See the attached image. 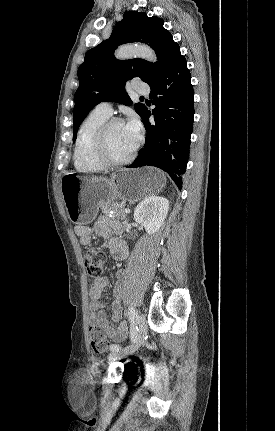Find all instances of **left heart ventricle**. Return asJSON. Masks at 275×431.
Here are the masks:
<instances>
[{"instance_id": "obj_1", "label": "left heart ventricle", "mask_w": 275, "mask_h": 431, "mask_svg": "<svg viewBox=\"0 0 275 431\" xmlns=\"http://www.w3.org/2000/svg\"><path fill=\"white\" fill-rule=\"evenodd\" d=\"M107 149L109 155L115 160H122L128 157L134 149L129 142L124 124L114 125L107 138Z\"/></svg>"}]
</instances>
